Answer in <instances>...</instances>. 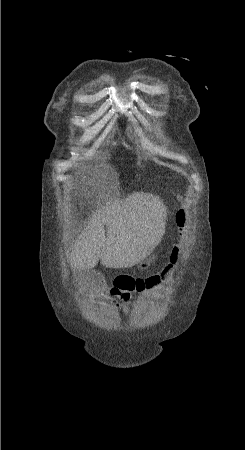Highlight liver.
<instances>
[{"mask_svg":"<svg viewBox=\"0 0 245 450\" xmlns=\"http://www.w3.org/2000/svg\"><path fill=\"white\" fill-rule=\"evenodd\" d=\"M166 217L162 200L151 193L141 191L123 199L110 198L92 212L75 240L71 266L78 270L90 269L99 260L108 268L136 265L161 241Z\"/></svg>","mask_w":245,"mask_h":450,"instance_id":"6515ba94","label":"liver"}]
</instances>
